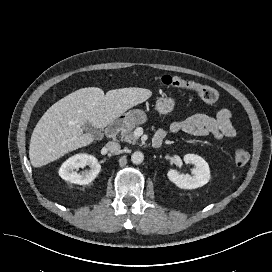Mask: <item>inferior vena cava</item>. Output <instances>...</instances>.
I'll list each match as a JSON object with an SVG mask.
<instances>
[{
    "instance_id": "obj_1",
    "label": "inferior vena cava",
    "mask_w": 272,
    "mask_h": 272,
    "mask_svg": "<svg viewBox=\"0 0 272 272\" xmlns=\"http://www.w3.org/2000/svg\"><path fill=\"white\" fill-rule=\"evenodd\" d=\"M105 147L109 152L114 154L118 153L121 148L120 144L116 142H108Z\"/></svg>"
}]
</instances>
